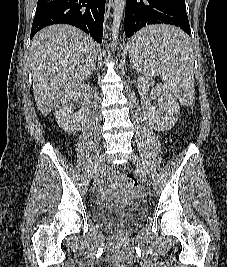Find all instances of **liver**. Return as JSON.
Wrapping results in <instances>:
<instances>
[{"instance_id":"1","label":"liver","mask_w":227,"mask_h":267,"mask_svg":"<svg viewBox=\"0 0 227 267\" xmlns=\"http://www.w3.org/2000/svg\"><path fill=\"white\" fill-rule=\"evenodd\" d=\"M29 57L34 98L47 116L62 96L89 76L96 60L95 42L70 25H51L34 36Z\"/></svg>"}]
</instances>
